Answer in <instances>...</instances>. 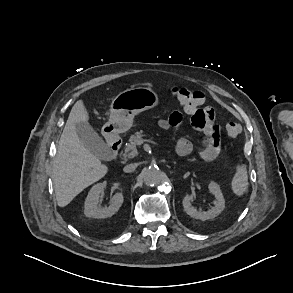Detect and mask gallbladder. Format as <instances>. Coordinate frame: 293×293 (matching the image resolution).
<instances>
[{
    "instance_id": "1",
    "label": "gallbladder",
    "mask_w": 293,
    "mask_h": 293,
    "mask_svg": "<svg viewBox=\"0 0 293 293\" xmlns=\"http://www.w3.org/2000/svg\"><path fill=\"white\" fill-rule=\"evenodd\" d=\"M76 132L82 144L97 158L104 160L110 154L104 140L87 122L76 123Z\"/></svg>"
}]
</instances>
